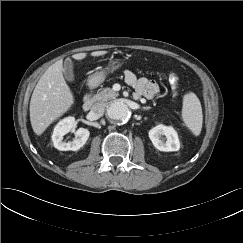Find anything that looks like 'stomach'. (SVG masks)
Wrapping results in <instances>:
<instances>
[{
  "instance_id": "1",
  "label": "stomach",
  "mask_w": 243,
  "mask_h": 243,
  "mask_svg": "<svg viewBox=\"0 0 243 243\" xmlns=\"http://www.w3.org/2000/svg\"><path fill=\"white\" fill-rule=\"evenodd\" d=\"M120 66H121V63L118 60L111 61L107 65L105 70L96 72L88 78V85L90 87H96V86L100 85L101 83L104 82L107 72L117 70Z\"/></svg>"
}]
</instances>
